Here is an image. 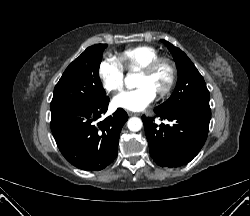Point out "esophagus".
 I'll return each instance as SVG.
<instances>
[{
  "label": "esophagus",
  "mask_w": 250,
  "mask_h": 216,
  "mask_svg": "<svg viewBox=\"0 0 250 216\" xmlns=\"http://www.w3.org/2000/svg\"><path fill=\"white\" fill-rule=\"evenodd\" d=\"M129 115H133V113H132V112H130V113H129Z\"/></svg>",
  "instance_id": "34e87169"
}]
</instances>
